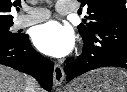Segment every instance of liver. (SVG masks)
<instances>
[{"label":"liver","instance_id":"1","mask_svg":"<svg viewBox=\"0 0 127 92\" xmlns=\"http://www.w3.org/2000/svg\"><path fill=\"white\" fill-rule=\"evenodd\" d=\"M28 76L0 65V92H26ZM34 92H44V90L36 83Z\"/></svg>","mask_w":127,"mask_h":92}]
</instances>
